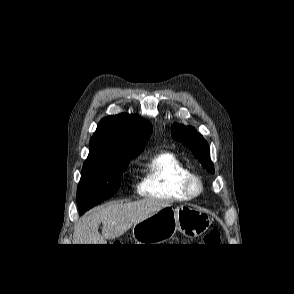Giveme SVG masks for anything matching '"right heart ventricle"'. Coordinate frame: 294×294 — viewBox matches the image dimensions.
Masks as SVG:
<instances>
[{"instance_id":"right-heart-ventricle-1","label":"right heart ventricle","mask_w":294,"mask_h":294,"mask_svg":"<svg viewBox=\"0 0 294 294\" xmlns=\"http://www.w3.org/2000/svg\"><path fill=\"white\" fill-rule=\"evenodd\" d=\"M188 172L177 155L169 151L158 152L143 163L137 192L141 196L160 199L186 198L182 180Z\"/></svg>"}]
</instances>
